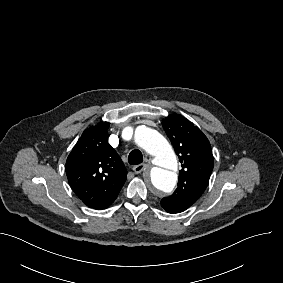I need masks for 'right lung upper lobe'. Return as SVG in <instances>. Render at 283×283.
<instances>
[{
	"instance_id": "right-lung-upper-lobe-1",
	"label": "right lung upper lobe",
	"mask_w": 283,
	"mask_h": 283,
	"mask_svg": "<svg viewBox=\"0 0 283 283\" xmlns=\"http://www.w3.org/2000/svg\"><path fill=\"white\" fill-rule=\"evenodd\" d=\"M110 123L85 130L66 161V175L75 194L90 208L105 209L117 198L127 171L107 142Z\"/></svg>"
}]
</instances>
